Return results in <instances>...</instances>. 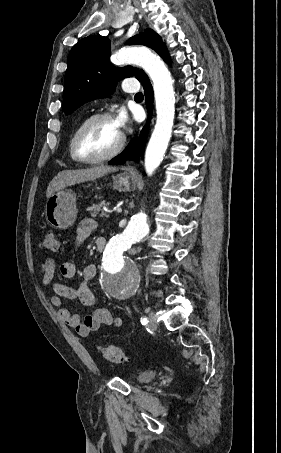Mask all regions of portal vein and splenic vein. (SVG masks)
Listing matches in <instances>:
<instances>
[{"mask_svg": "<svg viewBox=\"0 0 281 453\" xmlns=\"http://www.w3.org/2000/svg\"><path fill=\"white\" fill-rule=\"evenodd\" d=\"M117 211H118L117 213L119 214L122 210L118 207Z\"/></svg>", "mask_w": 281, "mask_h": 453, "instance_id": "18ae733b", "label": "portal vein and splenic vein"}]
</instances>
